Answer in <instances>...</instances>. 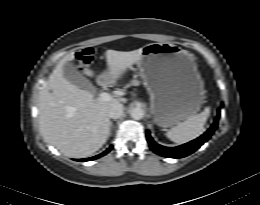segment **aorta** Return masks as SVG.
Listing matches in <instances>:
<instances>
[{"label":"aorta","instance_id":"obj_1","mask_svg":"<svg viewBox=\"0 0 260 205\" xmlns=\"http://www.w3.org/2000/svg\"><path fill=\"white\" fill-rule=\"evenodd\" d=\"M130 116L135 120H140L144 117V110L140 107H135L130 110Z\"/></svg>","mask_w":260,"mask_h":205}]
</instances>
